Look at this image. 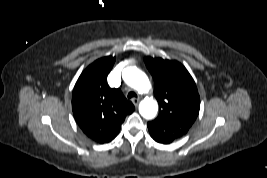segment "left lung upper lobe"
<instances>
[{"instance_id":"1","label":"left lung upper lobe","mask_w":267,"mask_h":178,"mask_svg":"<svg viewBox=\"0 0 267 178\" xmlns=\"http://www.w3.org/2000/svg\"><path fill=\"white\" fill-rule=\"evenodd\" d=\"M154 79V96L159 105L158 117L147 123L151 137L168 144L184 136L196 120L200 97L187 69L175 60L145 57Z\"/></svg>"}]
</instances>
